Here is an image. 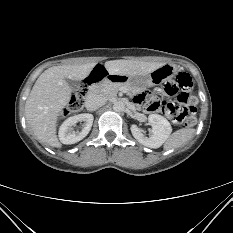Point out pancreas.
Listing matches in <instances>:
<instances>
[{"label": "pancreas", "instance_id": "1", "mask_svg": "<svg viewBox=\"0 0 233 233\" xmlns=\"http://www.w3.org/2000/svg\"><path fill=\"white\" fill-rule=\"evenodd\" d=\"M100 89H101V93L107 97V98H111L117 95L118 91L120 89H124L126 91H131V92H135V91H139V90H133L131 89L129 86H127L126 84H122V83H109V82H103L100 84Z\"/></svg>", "mask_w": 233, "mask_h": 233}]
</instances>
